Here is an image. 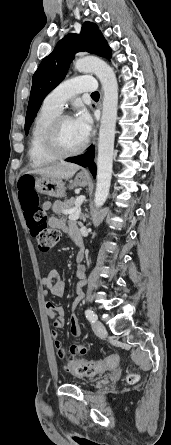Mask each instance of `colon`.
Segmentation results:
<instances>
[{
    "mask_svg": "<svg viewBox=\"0 0 171 445\" xmlns=\"http://www.w3.org/2000/svg\"><path fill=\"white\" fill-rule=\"evenodd\" d=\"M18 198L24 214L28 229L36 240L41 252H50L59 242L60 232L50 226L47 212L41 206L40 196L33 188V180L24 177L18 184ZM80 353H85V348L80 347ZM112 355L106 360L98 361H75L70 366L72 374L77 376H94L115 362ZM128 383H135L138 376L130 373L126 376Z\"/></svg>",
    "mask_w": 171,
    "mask_h": 445,
    "instance_id": "colon-1",
    "label": "colon"
}]
</instances>
